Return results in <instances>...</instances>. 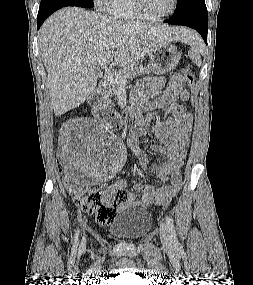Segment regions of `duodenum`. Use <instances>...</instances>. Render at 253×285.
Wrapping results in <instances>:
<instances>
[{
    "label": "duodenum",
    "instance_id": "410a0bca",
    "mask_svg": "<svg viewBox=\"0 0 253 285\" xmlns=\"http://www.w3.org/2000/svg\"><path fill=\"white\" fill-rule=\"evenodd\" d=\"M105 86L106 81L101 82L99 87L90 95L88 102L96 117L106 120H113L114 114L106 112L102 106L103 88Z\"/></svg>",
    "mask_w": 253,
    "mask_h": 285
}]
</instances>
